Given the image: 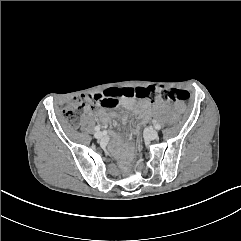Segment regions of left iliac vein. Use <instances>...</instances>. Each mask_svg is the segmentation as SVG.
Instances as JSON below:
<instances>
[{"label": "left iliac vein", "instance_id": "obj_1", "mask_svg": "<svg viewBox=\"0 0 241 241\" xmlns=\"http://www.w3.org/2000/svg\"><path fill=\"white\" fill-rule=\"evenodd\" d=\"M144 133H145L146 138L149 140H154V139L158 138V132L154 129L148 128L145 130Z\"/></svg>", "mask_w": 241, "mask_h": 241}]
</instances>
